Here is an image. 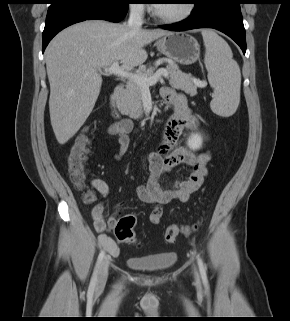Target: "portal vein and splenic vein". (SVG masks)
<instances>
[{"mask_svg":"<svg viewBox=\"0 0 290 321\" xmlns=\"http://www.w3.org/2000/svg\"><path fill=\"white\" fill-rule=\"evenodd\" d=\"M103 71L108 74H113L122 78L131 79L143 88L156 83L162 77L168 78L169 73L166 69H158L154 74L147 77L139 73H133L125 67H121L118 62H114L111 66L103 68ZM195 84L199 87H205L206 83L199 80H194Z\"/></svg>","mask_w":290,"mask_h":321,"instance_id":"18ae733b","label":"portal vein and splenic vein"}]
</instances>
